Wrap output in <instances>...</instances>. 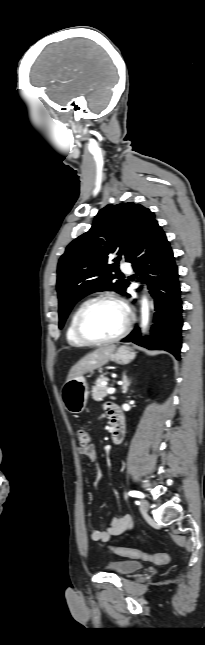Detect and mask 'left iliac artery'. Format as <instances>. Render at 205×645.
<instances>
[{
	"instance_id": "1",
	"label": "left iliac artery",
	"mask_w": 205,
	"mask_h": 645,
	"mask_svg": "<svg viewBox=\"0 0 205 645\" xmlns=\"http://www.w3.org/2000/svg\"><path fill=\"white\" fill-rule=\"evenodd\" d=\"M129 495L131 497H137V498H143L144 497V495L139 491H130Z\"/></svg>"
}]
</instances>
